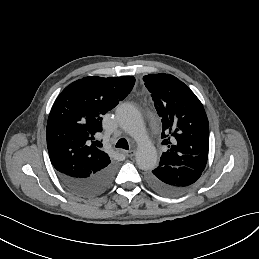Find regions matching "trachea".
<instances>
[{
  "mask_svg": "<svg viewBox=\"0 0 259 259\" xmlns=\"http://www.w3.org/2000/svg\"><path fill=\"white\" fill-rule=\"evenodd\" d=\"M116 148H123L125 150H129V145L126 139L122 138L119 139L118 142L115 145Z\"/></svg>",
  "mask_w": 259,
  "mask_h": 259,
  "instance_id": "obj_1",
  "label": "trachea"
}]
</instances>
